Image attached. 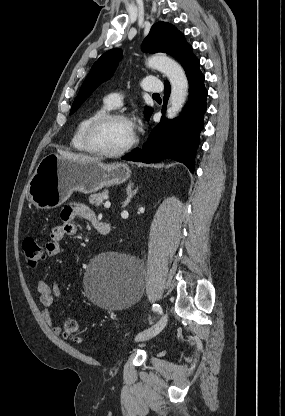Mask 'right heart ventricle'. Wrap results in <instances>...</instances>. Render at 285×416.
<instances>
[{
    "label": "right heart ventricle",
    "instance_id": "obj_1",
    "mask_svg": "<svg viewBox=\"0 0 285 416\" xmlns=\"http://www.w3.org/2000/svg\"><path fill=\"white\" fill-rule=\"evenodd\" d=\"M106 109V106L94 109L78 121L71 137V145L75 150L82 153H91L84 140L86 126L94 117L106 112Z\"/></svg>",
    "mask_w": 285,
    "mask_h": 416
}]
</instances>
